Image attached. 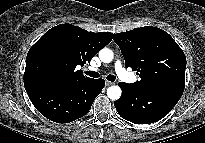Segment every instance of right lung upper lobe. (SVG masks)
Listing matches in <instances>:
<instances>
[{
	"mask_svg": "<svg viewBox=\"0 0 205 143\" xmlns=\"http://www.w3.org/2000/svg\"><path fill=\"white\" fill-rule=\"evenodd\" d=\"M109 32H88L71 24L57 25L48 30L29 50L24 81L57 79L80 82L85 77L76 66L90 62L95 54L111 42Z\"/></svg>",
	"mask_w": 205,
	"mask_h": 143,
	"instance_id": "1",
	"label": "right lung upper lobe"
}]
</instances>
